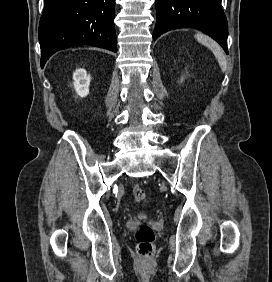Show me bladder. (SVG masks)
Returning a JSON list of instances; mask_svg holds the SVG:
<instances>
[{
	"mask_svg": "<svg viewBox=\"0 0 272 282\" xmlns=\"http://www.w3.org/2000/svg\"><path fill=\"white\" fill-rule=\"evenodd\" d=\"M148 216L147 215H143V218H147Z\"/></svg>",
	"mask_w": 272,
	"mask_h": 282,
	"instance_id": "1",
	"label": "bladder"
}]
</instances>
